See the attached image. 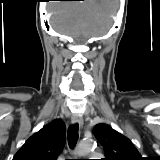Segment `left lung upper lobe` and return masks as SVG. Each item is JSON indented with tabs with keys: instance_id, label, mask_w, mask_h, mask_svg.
I'll return each mask as SVG.
<instances>
[{
	"instance_id": "left-lung-upper-lobe-1",
	"label": "left lung upper lobe",
	"mask_w": 160,
	"mask_h": 160,
	"mask_svg": "<svg viewBox=\"0 0 160 160\" xmlns=\"http://www.w3.org/2000/svg\"><path fill=\"white\" fill-rule=\"evenodd\" d=\"M94 134L104 148L103 160H144L134 144L109 125H96Z\"/></svg>"
}]
</instances>
